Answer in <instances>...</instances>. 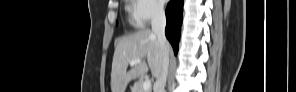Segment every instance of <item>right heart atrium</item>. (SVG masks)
Listing matches in <instances>:
<instances>
[{
    "mask_svg": "<svg viewBox=\"0 0 296 92\" xmlns=\"http://www.w3.org/2000/svg\"><path fill=\"white\" fill-rule=\"evenodd\" d=\"M131 16L136 24L144 26L162 17L164 10L158 1H131Z\"/></svg>",
    "mask_w": 296,
    "mask_h": 92,
    "instance_id": "d8ad5b80",
    "label": "right heart atrium"
}]
</instances>
